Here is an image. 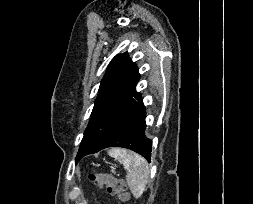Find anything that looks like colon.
<instances>
[{
	"label": "colon",
	"mask_w": 253,
	"mask_h": 204,
	"mask_svg": "<svg viewBox=\"0 0 253 204\" xmlns=\"http://www.w3.org/2000/svg\"><path fill=\"white\" fill-rule=\"evenodd\" d=\"M91 183L102 187L105 186L107 192L120 200H126L128 195L123 180L108 173H91L88 176Z\"/></svg>",
	"instance_id": "obj_1"
}]
</instances>
